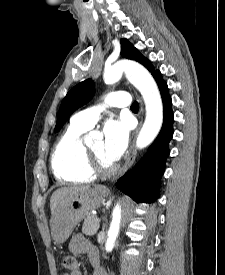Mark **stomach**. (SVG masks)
I'll return each instance as SVG.
<instances>
[{"label":"stomach","mask_w":225,"mask_h":275,"mask_svg":"<svg viewBox=\"0 0 225 275\" xmlns=\"http://www.w3.org/2000/svg\"><path fill=\"white\" fill-rule=\"evenodd\" d=\"M105 194V188L97 187L63 198L52 212L50 219L53 240L57 243L65 242L74 228L91 214L92 210L101 206Z\"/></svg>","instance_id":"0dacf381"}]
</instances>
